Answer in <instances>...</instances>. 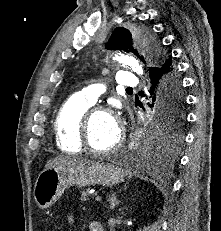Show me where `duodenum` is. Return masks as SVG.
I'll return each mask as SVG.
<instances>
[{
    "mask_svg": "<svg viewBox=\"0 0 221 231\" xmlns=\"http://www.w3.org/2000/svg\"><path fill=\"white\" fill-rule=\"evenodd\" d=\"M90 231H103V228L93 222L90 226Z\"/></svg>",
    "mask_w": 221,
    "mask_h": 231,
    "instance_id": "duodenum-1",
    "label": "duodenum"
}]
</instances>
